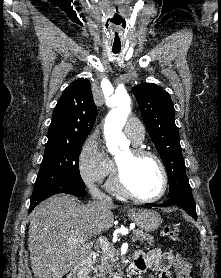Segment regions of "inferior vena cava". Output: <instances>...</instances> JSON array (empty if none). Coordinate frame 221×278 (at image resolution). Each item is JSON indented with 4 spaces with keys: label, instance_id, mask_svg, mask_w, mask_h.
Wrapping results in <instances>:
<instances>
[{
    "label": "inferior vena cava",
    "instance_id": "obj_1",
    "mask_svg": "<svg viewBox=\"0 0 221 278\" xmlns=\"http://www.w3.org/2000/svg\"><path fill=\"white\" fill-rule=\"evenodd\" d=\"M88 187L89 192L93 198L103 201L107 204L112 203V199L109 196L105 195L103 192H101L93 183H90Z\"/></svg>",
    "mask_w": 221,
    "mask_h": 278
}]
</instances>
